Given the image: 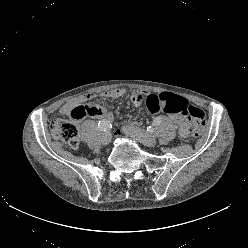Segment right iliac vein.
<instances>
[{
	"label": "right iliac vein",
	"mask_w": 248,
	"mask_h": 248,
	"mask_svg": "<svg viewBox=\"0 0 248 248\" xmlns=\"http://www.w3.org/2000/svg\"><path fill=\"white\" fill-rule=\"evenodd\" d=\"M110 141H111V134L109 132L103 133V135L101 136V143L103 145H108Z\"/></svg>",
	"instance_id": "right-iliac-vein-1"
}]
</instances>
